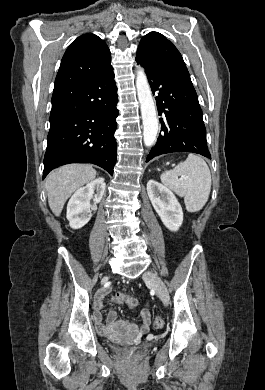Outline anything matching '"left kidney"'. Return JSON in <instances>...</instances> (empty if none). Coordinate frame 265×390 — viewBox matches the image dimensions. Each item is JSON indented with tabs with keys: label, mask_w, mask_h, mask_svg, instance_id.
Wrapping results in <instances>:
<instances>
[{
	"label": "left kidney",
	"mask_w": 265,
	"mask_h": 390,
	"mask_svg": "<svg viewBox=\"0 0 265 390\" xmlns=\"http://www.w3.org/2000/svg\"><path fill=\"white\" fill-rule=\"evenodd\" d=\"M147 193L165 227L170 231H178L183 222V211L173 192L151 179L147 183Z\"/></svg>",
	"instance_id": "5707ae66"
}]
</instances>
